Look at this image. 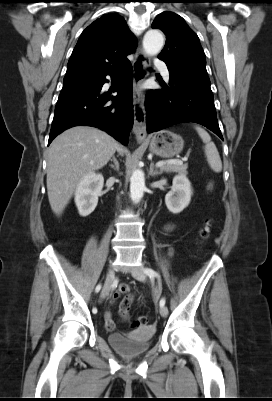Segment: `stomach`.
<instances>
[{"label":"stomach","mask_w":272,"mask_h":401,"mask_svg":"<svg viewBox=\"0 0 272 401\" xmlns=\"http://www.w3.org/2000/svg\"><path fill=\"white\" fill-rule=\"evenodd\" d=\"M183 147V138L167 129L156 132L150 137L149 150L163 158H172L179 154Z\"/></svg>","instance_id":"1"}]
</instances>
